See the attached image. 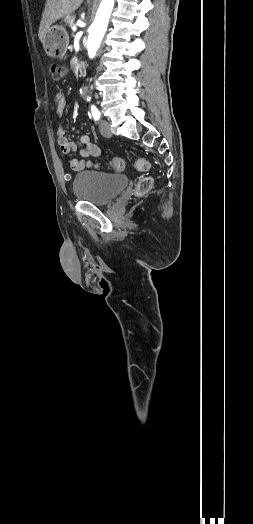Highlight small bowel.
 Wrapping results in <instances>:
<instances>
[{
	"label": "small bowel",
	"mask_w": 253,
	"mask_h": 524,
	"mask_svg": "<svg viewBox=\"0 0 253 524\" xmlns=\"http://www.w3.org/2000/svg\"><path fill=\"white\" fill-rule=\"evenodd\" d=\"M56 103H57L56 114L59 117H61L67 106V101L63 93L59 92L56 94ZM57 135H58V144L60 146V150L62 154L66 157L69 167L73 171H81L84 169L85 167L84 159L91 157V156L100 155L99 147L91 143L89 136L84 134L80 136V142L82 144V148L79 151L80 158L69 159L68 155L71 152H75L77 150V147L74 142L69 141L67 139L66 130L62 125L58 126Z\"/></svg>",
	"instance_id": "small-bowel-1"
}]
</instances>
